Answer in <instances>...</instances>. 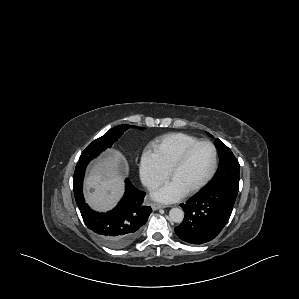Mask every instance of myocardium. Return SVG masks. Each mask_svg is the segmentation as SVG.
Segmentation results:
<instances>
[{
	"instance_id": "1",
	"label": "myocardium",
	"mask_w": 299,
	"mask_h": 299,
	"mask_svg": "<svg viewBox=\"0 0 299 299\" xmlns=\"http://www.w3.org/2000/svg\"><path fill=\"white\" fill-rule=\"evenodd\" d=\"M207 144L211 146L213 150V165L208 173V175L197 185L191 187L187 191H185L186 194H193L203 187H205L214 177L217 168H218V150L215 144L209 140H200L192 145H190L188 148L184 150V152L180 155V157L176 160V162L172 165V167L169 170V177L170 179L173 178L174 174L186 163L191 153L200 145Z\"/></svg>"
}]
</instances>
